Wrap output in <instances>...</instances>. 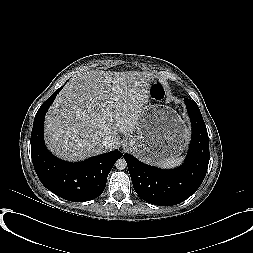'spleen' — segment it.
<instances>
[{"label":"spleen","instance_id":"obj_1","mask_svg":"<svg viewBox=\"0 0 253 253\" xmlns=\"http://www.w3.org/2000/svg\"><path fill=\"white\" fill-rule=\"evenodd\" d=\"M182 160H183L182 156L176 158H169L163 162L158 163V166L162 168H173L179 165L182 162Z\"/></svg>","mask_w":253,"mask_h":253}]
</instances>
